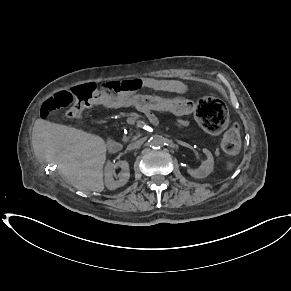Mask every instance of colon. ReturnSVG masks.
I'll return each mask as SVG.
<instances>
[{"instance_id":"1","label":"colon","mask_w":291,"mask_h":291,"mask_svg":"<svg viewBox=\"0 0 291 291\" xmlns=\"http://www.w3.org/2000/svg\"><path fill=\"white\" fill-rule=\"evenodd\" d=\"M124 82L103 84L87 83L55 93L42 105L40 116L46 118L51 112L66 109L67 116L76 119L87 108L108 104L112 109L120 106L128 108L134 104L142 112H171L174 118H188L195 114L199 124L210 133L222 131L228 123V112L224 103L215 97L189 98L172 97L171 93H144L134 99L128 93ZM222 148L227 153H235L240 146L238 125L229 129L222 139Z\"/></svg>"}]
</instances>
